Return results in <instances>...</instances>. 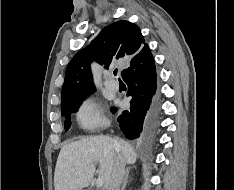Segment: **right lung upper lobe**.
I'll return each instance as SVG.
<instances>
[{"mask_svg":"<svg viewBox=\"0 0 234 190\" xmlns=\"http://www.w3.org/2000/svg\"><path fill=\"white\" fill-rule=\"evenodd\" d=\"M147 47L140 29L131 22L121 20L105 27L96 39L81 49L68 64L62 87L61 104L95 89L90 68L93 60L107 64L108 68L112 61L119 58H126L132 62ZM124 72L125 70L121 75Z\"/></svg>","mask_w":234,"mask_h":190,"instance_id":"1","label":"right lung upper lobe"}]
</instances>
